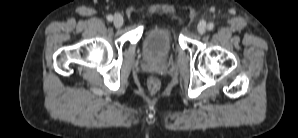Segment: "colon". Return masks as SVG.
Here are the masks:
<instances>
[{
    "label": "colon",
    "instance_id": "obj_1",
    "mask_svg": "<svg viewBox=\"0 0 298 138\" xmlns=\"http://www.w3.org/2000/svg\"><path fill=\"white\" fill-rule=\"evenodd\" d=\"M148 87L151 91H156L160 87V81L157 78L152 77L148 80Z\"/></svg>",
    "mask_w": 298,
    "mask_h": 138
}]
</instances>
